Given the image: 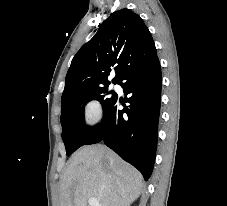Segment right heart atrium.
Listing matches in <instances>:
<instances>
[{
  "label": "right heart atrium",
  "instance_id": "obj_1",
  "mask_svg": "<svg viewBox=\"0 0 227 206\" xmlns=\"http://www.w3.org/2000/svg\"><path fill=\"white\" fill-rule=\"evenodd\" d=\"M82 115L86 126L94 127L102 118L101 104L94 99L87 101L83 106Z\"/></svg>",
  "mask_w": 227,
  "mask_h": 206
}]
</instances>
